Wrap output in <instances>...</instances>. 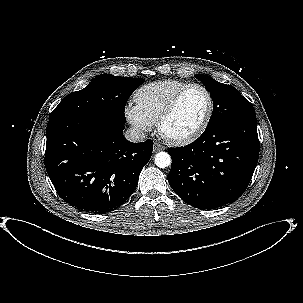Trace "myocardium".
I'll use <instances>...</instances> for the list:
<instances>
[{
    "label": "myocardium",
    "instance_id": "obj_1",
    "mask_svg": "<svg viewBox=\"0 0 303 303\" xmlns=\"http://www.w3.org/2000/svg\"><path fill=\"white\" fill-rule=\"evenodd\" d=\"M193 88H198L204 92V94L207 97L208 101V108L206 111V114L201 121L200 125L191 133L184 135V136H179V137H173L169 136L164 132V125L167 122V120L174 114L175 110L177 109L179 103L181 102L183 96ZM214 111V102L212 95L210 91L203 85L198 84V83H191L182 88L169 102V104L166 106V108L163 110V112L160 114L156 124H157V130L160 133V135L167 140L168 142L175 144V145H186L189 143L194 142L197 140L207 129L212 115Z\"/></svg>",
    "mask_w": 303,
    "mask_h": 303
}]
</instances>
